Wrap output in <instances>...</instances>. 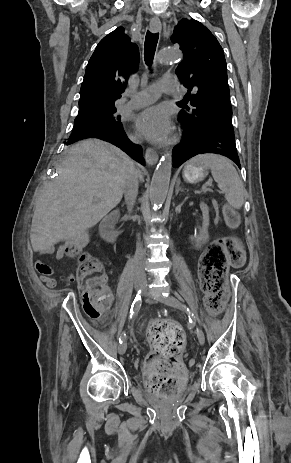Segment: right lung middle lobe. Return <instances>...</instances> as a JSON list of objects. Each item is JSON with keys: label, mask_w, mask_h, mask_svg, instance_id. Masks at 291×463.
<instances>
[{"label": "right lung middle lobe", "mask_w": 291, "mask_h": 463, "mask_svg": "<svg viewBox=\"0 0 291 463\" xmlns=\"http://www.w3.org/2000/svg\"><path fill=\"white\" fill-rule=\"evenodd\" d=\"M115 107L105 109L101 112L76 117L74 128L69 139L76 138L91 132L110 131L122 127L120 116L115 115Z\"/></svg>", "instance_id": "1"}]
</instances>
